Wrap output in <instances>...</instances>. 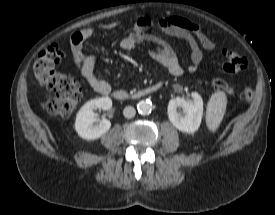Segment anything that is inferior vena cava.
<instances>
[{
    "instance_id": "602c4592",
    "label": "inferior vena cava",
    "mask_w": 275,
    "mask_h": 215,
    "mask_svg": "<svg viewBox=\"0 0 275 215\" xmlns=\"http://www.w3.org/2000/svg\"><path fill=\"white\" fill-rule=\"evenodd\" d=\"M135 114H136V110L132 106H127L123 110V115L126 118H133L135 116Z\"/></svg>"
}]
</instances>
